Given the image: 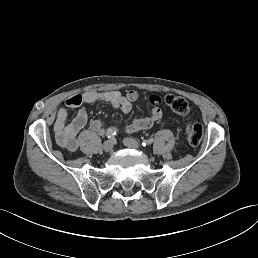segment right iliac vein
Here are the masks:
<instances>
[{"label": "right iliac vein", "mask_w": 258, "mask_h": 258, "mask_svg": "<svg viewBox=\"0 0 258 258\" xmlns=\"http://www.w3.org/2000/svg\"><path fill=\"white\" fill-rule=\"evenodd\" d=\"M102 149L104 152L109 153L112 151L113 149V143L111 141H106L103 146Z\"/></svg>", "instance_id": "obj_1"}]
</instances>
